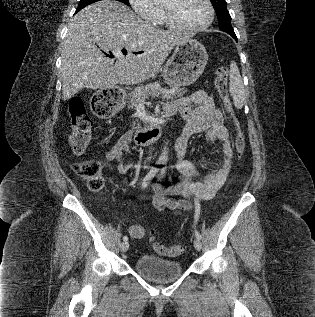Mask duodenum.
Masks as SVG:
<instances>
[{
	"mask_svg": "<svg viewBox=\"0 0 315 317\" xmlns=\"http://www.w3.org/2000/svg\"><path fill=\"white\" fill-rule=\"evenodd\" d=\"M174 113L164 110L162 116L147 124L144 128L135 134V143L139 146H145L158 139L162 134L164 120L172 116Z\"/></svg>",
	"mask_w": 315,
	"mask_h": 317,
	"instance_id": "obj_1",
	"label": "duodenum"
}]
</instances>
